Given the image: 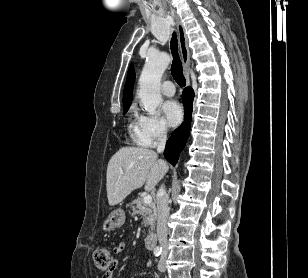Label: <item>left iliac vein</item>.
<instances>
[{"instance_id":"4c4485c4","label":"left iliac vein","mask_w":308,"mask_h":278,"mask_svg":"<svg viewBox=\"0 0 308 278\" xmlns=\"http://www.w3.org/2000/svg\"><path fill=\"white\" fill-rule=\"evenodd\" d=\"M166 256H167V254L164 252L161 255L160 260L158 262V270L160 272H165L166 271Z\"/></svg>"}]
</instances>
